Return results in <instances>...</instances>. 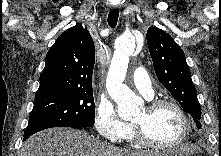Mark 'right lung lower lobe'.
I'll list each match as a JSON object with an SVG mask.
<instances>
[{
  "label": "right lung lower lobe",
  "instance_id": "obj_1",
  "mask_svg": "<svg viewBox=\"0 0 221 156\" xmlns=\"http://www.w3.org/2000/svg\"><path fill=\"white\" fill-rule=\"evenodd\" d=\"M73 128H77V129H85V128H88V127H83V126H73ZM30 135H27V136H24V139L23 140H26Z\"/></svg>",
  "mask_w": 221,
  "mask_h": 156
}]
</instances>
